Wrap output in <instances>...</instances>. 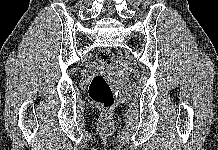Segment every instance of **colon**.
Listing matches in <instances>:
<instances>
[{
    "label": "colon",
    "mask_w": 218,
    "mask_h": 150,
    "mask_svg": "<svg viewBox=\"0 0 218 150\" xmlns=\"http://www.w3.org/2000/svg\"><path fill=\"white\" fill-rule=\"evenodd\" d=\"M113 59V53L108 49H102L97 54V61L103 68L110 67ZM89 97L96 106L104 110L114 105V92L104 75L97 74L92 78L89 85Z\"/></svg>",
    "instance_id": "5ec220e1"
}]
</instances>
